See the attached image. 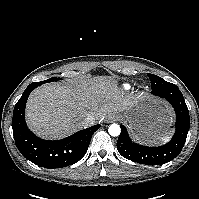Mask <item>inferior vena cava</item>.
<instances>
[{"label": "inferior vena cava", "mask_w": 199, "mask_h": 199, "mask_svg": "<svg viewBox=\"0 0 199 199\" xmlns=\"http://www.w3.org/2000/svg\"><path fill=\"white\" fill-rule=\"evenodd\" d=\"M95 121H96V119L93 115H87L82 123L85 127H87V126L93 125L95 123Z\"/></svg>", "instance_id": "602c4592"}]
</instances>
